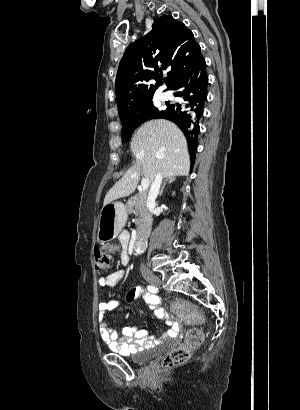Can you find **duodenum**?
Masks as SVG:
<instances>
[{
    "label": "duodenum",
    "instance_id": "410a0bca",
    "mask_svg": "<svg viewBox=\"0 0 300 410\" xmlns=\"http://www.w3.org/2000/svg\"><path fill=\"white\" fill-rule=\"evenodd\" d=\"M146 246V238L145 237H140L137 240H135L132 244L133 251L136 253H141L144 251Z\"/></svg>",
    "mask_w": 300,
    "mask_h": 410
}]
</instances>
